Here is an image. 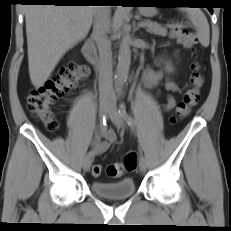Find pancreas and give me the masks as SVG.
<instances>
[{
  "label": "pancreas",
  "instance_id": "obj_1",
  "mask_svg": "<svg viewBox=\"0 0 231 231\" xmlns=\"http://www.w3.org/2000/svg\"><path fill=\"white\" fill-rule=\"evenodd\" d=\"M144 23L146 24L145 26L147 27V31L149 33H153L161 36L167 35V29L165 27H162L158 23L151 22L149 20H146Z\"/></svg>",
  "mask_w": 231,
  "mask_h": 231
}]
</instances>
